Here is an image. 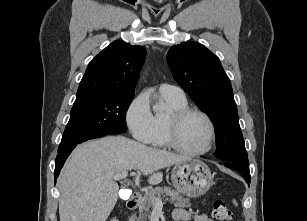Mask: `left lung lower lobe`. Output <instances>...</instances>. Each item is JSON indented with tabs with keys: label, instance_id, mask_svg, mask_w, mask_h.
Returning <instances> with one entry per match:
<instances>
[{
	"label": "left lung lower lobe",
	"instance_id": "left-lung-lower-lobe-1",
	"mask_svg": "<svg viewBox=\"0 0 307 221\" xmlns=\"http://www.w3.org/2000/svg\"><path fill=\"white\" fill-rule=\"evenodd\" d=\"M224 166L238 171L245 178L248 185H250L251 177H250L249 168L243 167L239 164H235V163H231V162H225Z\"/></svg>",
	"mask_w": 307,
	"mask_h": 221
}]
</instances>
